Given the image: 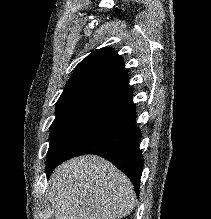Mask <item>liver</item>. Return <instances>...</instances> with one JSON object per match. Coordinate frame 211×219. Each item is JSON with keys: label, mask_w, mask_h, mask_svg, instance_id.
Returning a JSON list of instances; mask_svg holds the SVG:
<instances>
[{"label": "liver", "mask_w": 211, "mask_h": 219, "mask_svg": "<svg viewBox=\"0 0 211 219\" xmlns=\"http://www.w3.org/2000/svg\"><path fill=\"white\" fill-rule=\"evenodd\" d=\"M49 200L55 219H121L135 204L130 180L96 155L73 158L51 176Z\"/></svg>", "instance_id": "liver-1"}]
</instances>
